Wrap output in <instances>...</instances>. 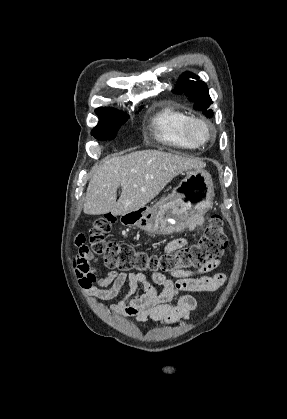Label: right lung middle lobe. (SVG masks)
<instances>
[{"mask_svg": "<svg viewBox=\"0 0 287 419\" xmlns=\"http://www.w3.org/2000/svg\"><path fill=\"white\" fill-rule=\"evenodd\" d=\"M97 115L99 116V122L91 131V135L99 140L113 139L121 125H123L129 118L126 114L119 111Z\"/></svg>", "mask_w": 287, "mask_h": 419, "instance_id": "1", "label": "right lung middle lobe"}]
</instances>
